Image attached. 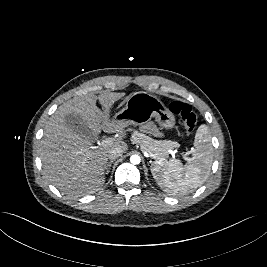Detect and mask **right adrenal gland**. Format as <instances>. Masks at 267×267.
Here are the masks:
<instances>
[{"mask_svg":"<svg viewBox=\"0 0 267 267\" xmlns=\"http://www.w3.org/2000/svg\"><path fill=\"white\" fill-rule=\"evenodd\" d=\"M113 162H114V160H111V161L107 164V166H106V168H105V174H108V173L110 172L111 165H112Z\"/></svg>","mask_w":267,"mask_h":267,"instance_id":"right-adrenal-gland-1","label":"right adrenal gland"}]
</instances>
